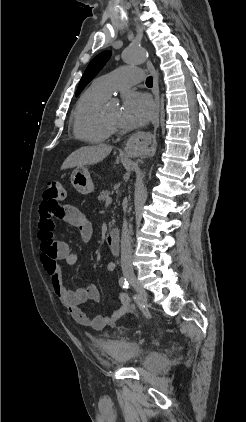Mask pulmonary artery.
Returning a JSON list of instances; mask_svg holds the SVG:
<instances>
[{
	"label": "pulmonary artery",
	"instance_id": "1",
	"mask_svg": "<svg viewBox=\"0 0 246 422\" xmlns=\"http://www.w3.org/2000/svg\"><path fill=\"white\" fill-rule=\"evenodd\" d=\"M142 78V70L132 67H121L97 78L93 82V86L109 96L117 89L128 87L142 81Z\"/></svg>",
	"mask_w": 246,
	"mask_h": 422
}]
</instances>
